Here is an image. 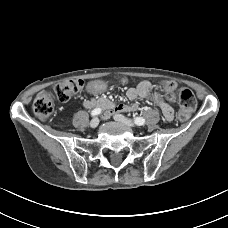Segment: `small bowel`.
Masks as SVG:
<instances>
[{"label":"small bowel","instance_id":"c3829d8e","mask_svg":"<svg viewBox=\"0 0 228 228\" xmlns=\"http://www.w3.org/2000/svg\"><path fill=\"white\" fill-rule=\"evenodd\" d=\"M126 96L130 100L137 98L147 99L153 102L162 112L167 121H172L174 118V97L170 93H160L154 90L152 84L148 81L140 82L136 87L129 88L126 91ZM103 98H89L84 101L86 108L102 107L107 109L106 117L111 116L114 113L136 111L138 109L137 104H119L114 108H108L104 106Z\"/></svg>","mask_w":228,"mask_h":228}]
</instances>
